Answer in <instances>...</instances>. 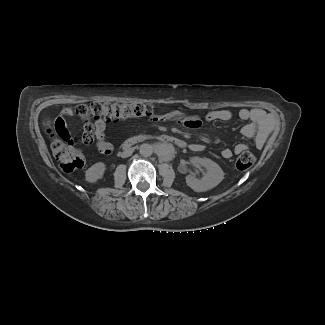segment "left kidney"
Returning a JSON list of instances; mask_svg holds the SVG:
<instances>
[{"label":"left kidney","instance_id":"obj_1","mask_svg":"<svg viewBox=\"0 0 325 325\" xmlns=\"http://www.w3.org/2000/svg\"><path fill=\"white\" fill-rule=\"evenodd\" d=\"M191 163L201 165L206 169V173L201 179L192 175L186 176L187 185L195 192H205L216 187L223 179L224 172L221 167L208 158L193 157Z\"/></svg>","mask_w":325,"mask_h":325}]
</instances>
